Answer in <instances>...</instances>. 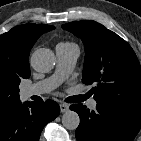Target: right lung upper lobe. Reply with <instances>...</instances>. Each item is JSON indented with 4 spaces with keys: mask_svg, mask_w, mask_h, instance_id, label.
<instances>
[{
    "mask_svg": "<svg viewBox=\"0 0 141 141\" xmlns=\"http://www.w3.org/2000/svg\"><path fill=\"white\" fill-rule=\"evenodd\" d=\"M55 29L45 24H24L12 28L0 36V77L28 78L30 76L29 52L41 34ZM18 97H10L0 103V112L17 103Z\"/></svg>",
    "mask_w": 141,
    "mask_h": 141,
    "instance_id": "obj_1",
    "label": "right lung upper lobe"
}]
</instances>
